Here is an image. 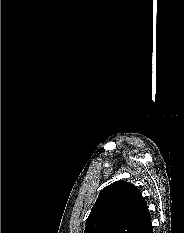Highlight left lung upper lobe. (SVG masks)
<instances>
[{
	"instance_id": "5c2ea615",
	"label": "left lung upper lobe",
	"mask_w": 184,
	"mask_h": 233,
	"mask_svg": "<svg viewBox=\"0 0 184 233\" xmlns=\"http://www.w3.org/2000/svg\"><path fill=\"white\" fill-rule=\"evenodd\" d=\"M150 220L138 188L127 181H117L100 192L84 233H144Z\"/></svg>"
}]
</instances>
